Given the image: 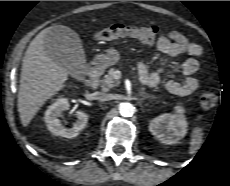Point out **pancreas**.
<instances>
[{
    "instance_id": "obj_1",
    "label": "pancreas",
    "mask_w": 230,
    "mask_h": 186,
    "mask_svg": "<svg viewBox=\"0 0 230 186\" xmlns=\"http://www.w3.org/2000/svg\"><path fill=\"white\" fill-rule=\"evenodd\" d=\"M115 72H116V69L111 68L108 71V74L104 76V79L101 80V87L104 91H107L110 88H113L117 85V83L114 80Z\"/></svg>"
}]
</instances>
